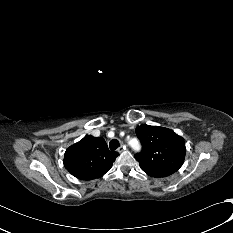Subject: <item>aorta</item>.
<instances>
[{"mask_svg":"<svg viewBox=\"0 0 233 233\" xmlns=\"http://www.w3.org/2000/svg\"><path fill=\"white\" fill-rule=\"evenodd\" d=\"M130 145H131L134 149H138V148H139L138 141L135 140V139H132V140L130 141Z\"/></svg>","mask_w":233,"mask_h":233,"instance_id":"762f6f07","label":"aorta"}]
</instances>
